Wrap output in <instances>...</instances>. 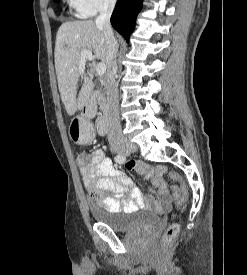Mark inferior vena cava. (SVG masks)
<instances>
[{"label":"inferior vena cava","instance_id":"inferior-vena-cava-1","mask_svg":"<svg viewBox=\"0 0 247 275\" xmlns=\"http://www.w3.org/2000/svg\"><path fill=\"white\" fill-rule=\"evenodd\" d=\"M116 0H105L99 16L96 18V26L103 31L105 42L107 45V59L109 68L104 77V86L108 95V134L107 138L111 146L122 144L126 141L122 134L119 117V100H118V85L115 77L117 73V52L118 42L114 37L110 17L115 7Z\"/></svg>","mask_w":247,"mask_h":275}]
</instances>
